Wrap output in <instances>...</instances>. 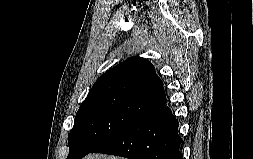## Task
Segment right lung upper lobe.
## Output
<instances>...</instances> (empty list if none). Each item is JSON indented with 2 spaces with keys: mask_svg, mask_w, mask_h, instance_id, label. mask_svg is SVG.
Returning a JSON list of instances; mask_svg holds the SVG:
<instances>
[{
  "mask_svg": "<svg viewBox=\"0 0 253 159\" xmlns=\"http://www.w3.org/2000/svg\"><path fill=\"white\" fill-rule=\"evenodd\" d=\"M127 96L160 106L165 103L161 79L146 59L132 57L105 72L89 91L87 98Z\"/></svg>",
  "mask_w": 253,
  "mask_h": 159,
  "instance_id": "obj_1",
  "label": "right lung upper lobe"
}]
</instances>
